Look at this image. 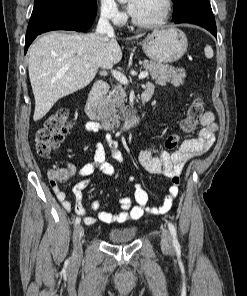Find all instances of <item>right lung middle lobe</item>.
I'll return each instance as SVG.
<instances>
[{
  "instance_id": "obj_1",
  "label": "right lung middle lobe",
  "mask_w": 247,
  "mask_h": 296,
  "mask_svg": "<svg viewBox=\"0 0 247 296\" xmlns=\"http://www.w3.org/2000/svg\"><path fill=\"white\" fill-rule=\"evenodd\" d=\"M65 2L74 13H91L97 10L96 0H35L32 15Z\"/></svg>"
}]
</instances>
